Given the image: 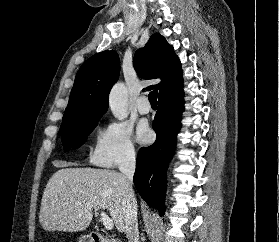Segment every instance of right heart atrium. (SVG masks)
Masks as SVG:
<instances>
[{
	"label": "right heart atrium",
	"mask_w": 279,
	"mask_h": 242,
	"mask_svg": "<svg viewBox=\"0 0 279 242\" xmlns=\"http://www.w3.org/2000/svg\"><path fill=\"white\" fill-rule=\"evenodd\" d=\"M135 155L130 127L122 122L110 121L99 130L90 161L100 167L113 168L133 161Z\"/></svg>",
	"instance_id": "right-heart-atrium-1"
}]
</instances>
